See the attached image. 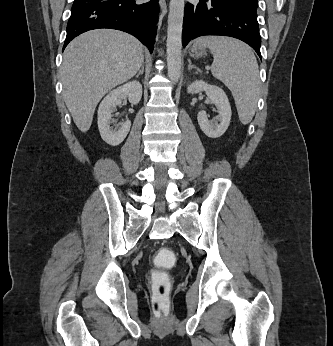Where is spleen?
Returning <instances> with one entry per match:
<instances>
[{"mask_svg":"<svg viewBox=\"0 0 333 346\" xmlns=\"http://www.w3.org/2000/svg\"><path fill=\"white\" fill-rule=\"evenodd\" d=\"M194 45L211 50L212 75L230 89L241 123L248 124L255 115L260 91L259 68L252 49L223 36L200 37Z\"/></svg>","mask_w":333,"mask_h":346,"instance_id":"obj_1","label":"spleen"}]
</instances>
